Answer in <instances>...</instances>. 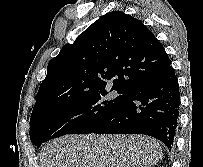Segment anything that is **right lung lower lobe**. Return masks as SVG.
<instances>
[{"mask_svg":"<svg viewBox=\"0 0 203 167\" xmlns=\"http://www.w3.org/2000/svg\"><path fill=\"white\" fill-rule=\"evenodd\" d=\"M121 106L93 132L105 134H145L162 141L171 150L176 135L180 92L170 67L143 81L124 94Z\"/></svg>","mask_w":203,"mask_h":167,"instance_id":"1","label":"right lung lower lobe"}]
</instances>
